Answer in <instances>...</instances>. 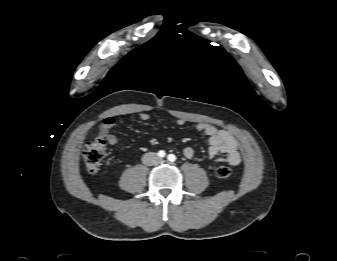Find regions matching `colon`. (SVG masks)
Wrapping results in <instances>:
<instances>
[{
  "label": "colon",
  "mask_w": 337,
  "mask_h": 261,
  "mask_svg": "<svg viewBox=\"0 0 337 261\" xmlns=\"http://www.w3.org/2000/svg\"><path fill=\"white\" fill-rule=\"evenodd\" d=\"M105 154L106 142L103 138H96L86 143L83 149L86 170L91 174L98 172ZM216 175L221 179H227L231 176V169L228 165H219L216 168Z\"/></svg>",
  "instance_id": "1"
}]
</instances>
